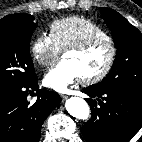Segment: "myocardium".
I'll return each instance as SVG.
<instances>
[{"instance_id":"myocardium-1","label":"myocardium","mask_w":142,"mask_h":142,"mask_svg":"<svg viewBox=\"0 0 142 142\" xmlns=\"http://www.w3.org/2000/svg\"><path fill=\"white\" fill-rule=\"evenodd\" d=\"M102 42L107 43L110 49V54H109L107 63L99 72L90 76L81 77L82 82L85 84H95L103 80L110 73L115 63V59L117 55V49H116L114 41L110 37L92 36L77 44L67 47L63 51V57H64L67 53H70V52L87 51L88 49L92 48L96 44L102 43Z\"/></svg>"}]
</instances>
